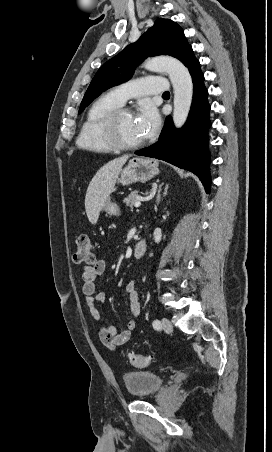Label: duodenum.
<instances>
[{"label": "duodenum", "mask_w": 272, "mask_h": 452, "mask_svg": "<svg viewBox=\"0 0 272 452\" xmlns=\"http://www.w3.org/2000/svg\"><path fill=\"white\" fill-rule=\"evenodd\" d=\"M147 247H148L147 240L145 238L141 239L134 245L133 256L137 259L141 258L144 255L145 251L147 250Z\"/></svg>", "instance_id": "1"}]
</instances>
